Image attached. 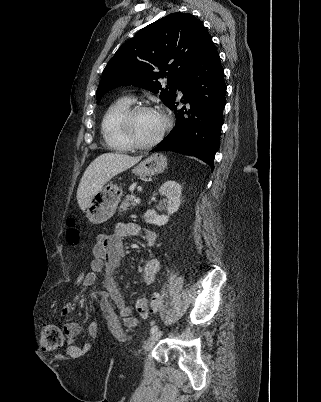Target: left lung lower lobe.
Masks as SVG:
<instances>
[{
	"instance_id": "left-lung-lower-lobe-1",
	"label": "left lung lower lobe",
	"mask_w": 321,
	"mask_h": 402,
	"mask_svg": "<svg viewBox=\"0 0 321 402\" xmlns=\"http://www.w3.org/2000/svg\"><path fill=\"white\" fill-rule=\"evenodd\" d=\"M184 104L177 109L176 96L168 106L174 111V129L154 151H175L195 156L214 169L220 146V131L225 107L226 84L219 54L210 38L199 57L180 81Z\"/></svg>"
}]
</instances>
